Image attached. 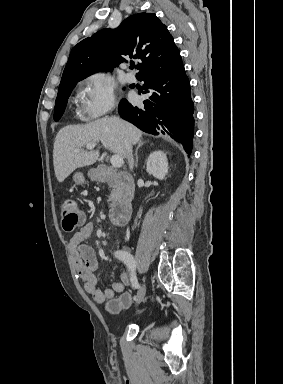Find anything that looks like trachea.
I'll return each mask as SVG.
<instances>
[{"label":"trachea","instance_id":"1","mask_svg":"<svg viewBox=\"0 0 283 384\" xmlns=\"http://www.w3.org/2000/svg\"><path fill=\"white\" fill-rule=\"evenodd\" d=\"M130 68H137V67L132 66V67H130Z\"/></svg>","mask_w":283,"mask_h":384}]
</instances>
